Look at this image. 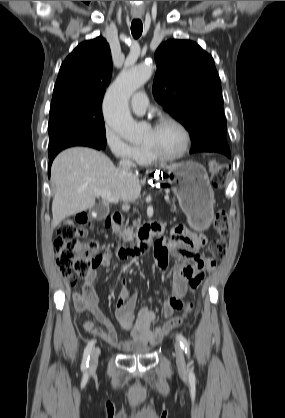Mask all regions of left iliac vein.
<instances>
[{"instance_id": "left-iliac-vein-1", "label": "left iliac vein", "mask_w": 285, "mask_h": 418, "mask_svg": "<svg viewBox=\"0 0 285 418\" xmlns=\"http://www.w3.org/2000/svg\"><path fill=\"white\" fill-rule=\"evenodd\" d=\"M174 349L176 354V364L180 371H185V357L184 351L181 345L178 342L174 343Z\"/></svg>"}]
</instances>
